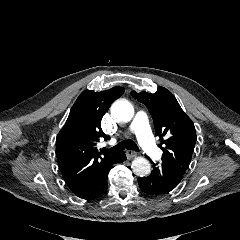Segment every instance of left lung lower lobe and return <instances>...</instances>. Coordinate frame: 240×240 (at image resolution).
<instances>
[{"label": "left lung lower lobe", "instance_id": "1", "mask_svg": "<svg viewBox=\"0 0 240 240\" xmlns=\"http://www.w3.org/2000/svg\"><path fill=\"white\" fill-rule=\"evenodd\" d=\"M183 176L164 164H153L152 173L138 178L141 190L147 195H163L175 189Z\"/></svg>", "mask_w": 240, "mask_h": 240}]
</instances>
